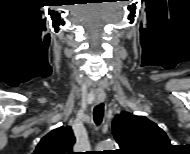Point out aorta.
Returning a JSON list of instances; mask_svg holds the SVG:
<instances>
[{"label": "aorta", "instance_id": "aorta-1", "mask_svg": "<svg viewBox=\"0 0 190 154\" xmlns=\"http://www.w3.org/2000/svg\"><path fill=\"white\" fill-rule=\"evenodd\" d=\"M117 147V144L114 140H105L103 142H101L98 146V149H101V151L103 150H115Z\"/></svg>", "mask_w": 190, "mask_h": 154}]
</instances>
